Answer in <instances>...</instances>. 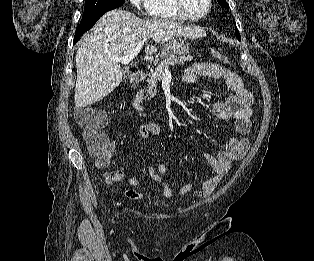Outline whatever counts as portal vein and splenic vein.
<instances>
[{
    "label": "portal vein and splenic vein",
    "instance_id": "obj_1",
    "mask_svg": "<svg viewBox=\"0 0 314 261\" xmlns=\"http://www.w3.org/2000/svg\"><path fill=\"white\" fill-rule=\"evenodd\" d=\"M146 43V40L141 41L130 53H128L125 56L122 57H112V60L115 62H119L122 63L124 65H127L128 63H130L131 61H133L135 59V57L138 55V53L140 52L141 48L143 47V45ZM167 72L169 70H166Z\"/></svg>",
    "mask_w": 314,
    "mask_h": 261
}]
</instances>
